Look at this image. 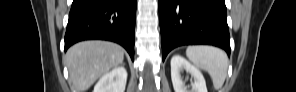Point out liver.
<instances>
[{
	"label": "liver",
	"mask_w": 296,
	"mask_h": 92,
	"mask_svg": "<svg viewBox=\"0 0 296 92\" xmlns=\"http://www.w3.org/2000/svg\"><path fill=\"white\" fill-rule=\"evenodd\" d=\"M125 50L108 41H83L66 53L69 78L77 92H85L97 79L123 62Z\"/></svg>",
	"instance_id": "liver-1"
}]
</instances>
